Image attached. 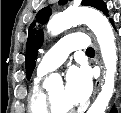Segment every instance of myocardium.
Masks as SVG:
<instances>
[{
	"mask_svg": "<svg viewBox=\"0 0 121 113\" xmlns=\"http://www.w3.org/2000/svg\"><path fill=\"white\" fill-rule=\"evenodd\" d=\"M46 104L50 113H70L73 110V108L71 107L65 111H60L54 103L50 91L46 93Z\"/></svg>",
	"mask_w": 121,
	"mask_h": 113,
	"instance_id": "myocardium-1",
	"label": "myocardium"
}]
</instances>
